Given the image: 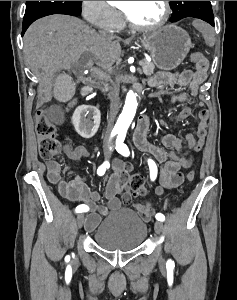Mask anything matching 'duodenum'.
<instances>
[{
    "instance_id": "obj_1",
    "label": "duodenum",
    "mask_w": 237,
    "mask_h": 300,
    "mask_svg": "<svg viewBox=\"0 0 237 300\" xmlns=\"http://www.w3.org/2000/svg\"><path fill=\"white\" fill-rule=\"evenodd\" d=\"M91 93H92V88H91L90 86H85V87L83 88V90H82V95H83L84 97L90 96Z\"/></svg>"
}]
</instances>
